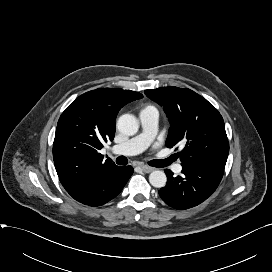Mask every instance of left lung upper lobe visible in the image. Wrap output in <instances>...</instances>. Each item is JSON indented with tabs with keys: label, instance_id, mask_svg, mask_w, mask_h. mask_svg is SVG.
Segmentation results:
<instances>
[{
	"label": "left lung upper lobe",
	"instance_id": "5c2ea615",
	"mask_svg": "<svg viewBox=\"0 0 272 272\" xmlns=\"http://www.w3.org/2000/svg\"><path fill=\"white\" fill-rule=\"evenodd\" d=\"M145 94L163 106L170 121L166 146L181 144L182 165L224 167L229 153L222 116L206 99L187 88L161 87Z\"/></svg>",
	"mask_w": 272,
	"mask_h": 272
}]
</instances>
